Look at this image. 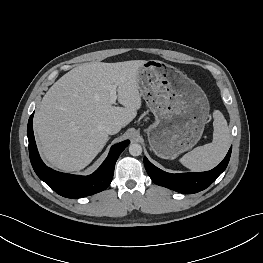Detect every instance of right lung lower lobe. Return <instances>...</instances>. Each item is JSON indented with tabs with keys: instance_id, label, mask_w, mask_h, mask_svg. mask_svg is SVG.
<instances>
[{
	"instance_id": "right-lung-lower-lobe-1",
	"label": "right lung lower lobe",
	"mask_w": 263,
	"mask_h": 263,
	"mask_svg": "<svg viewBox=\"0 0 263 263\" xmlns=\"http://www.w3.org/2000/svg\"><path fill=\"white\" fill-rule=\"evenodd\" d=\"M33 115L34 113L30 116L27 127L29 156L34 171L42 181L66 198L86 197L101 192L110 185L115 163L121 152L129 145V140L112 146L102 165L89 176L60 173L48 168L39 156L33 134Z\"/></svg>"
}]
</instances>
